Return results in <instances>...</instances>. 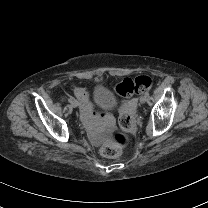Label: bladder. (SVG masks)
Masks as SVG:
<instances>
[{"instance_id": "bladder-1", "label": "bladder", "mask_w": 208, "mask_h": 208, "mask_svg": "<svg viewBox=\"0 0 208 208\" xmlns=\"http://www.w3.org/2000/svg\"><path fill=\"white\" fill-rule=\"evenodd\" d=\"M115 96L106 91H101L100 89H95V94L92 102L96 108L102 110L111 109L114 107Z\"/></svg>"}]
</instances>
